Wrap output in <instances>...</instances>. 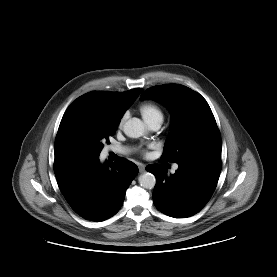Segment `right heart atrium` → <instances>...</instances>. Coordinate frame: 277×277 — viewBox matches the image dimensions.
<instances>
[{"instance_id": "obj_1", "label": "right heart atrium", "mask_w": 277, "mask_h": 277, "mask_svg": "<svg viewBox=\"0 0 277 277\" xmlns=\"http://www.w3.org/2000/svg\"><path fill=\"white\" fill-rule=\"evenodd\" d=\"M125 119H126V114H124V115L120 118V120H119V127H121V126L124 124Z\"/></svg>"}]
</instances>
